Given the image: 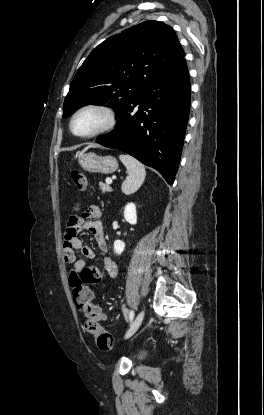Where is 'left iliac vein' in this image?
I'll return each instance as SVG.
<instances>
[{
    "label": "left iliac vein",
    "mask_w": 264,
    "mask_h": 415,
    "mask_svg": "<svg viewBox=\"0 0 264 415\" xmlns=\"http://www.w3.org/2000/svg\"><path fill=\"white\" fill-rule=\"evenodd\" d=\"M145 316V311L142 310L138 313V315L135 317L134 321L132 322L130 328L128 329L127 333L125 334V338L131 337L140 327L143 319Z\"/></svg>",
    "instance_id": "obj_1"
}]
</instances>
